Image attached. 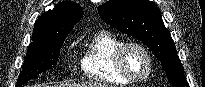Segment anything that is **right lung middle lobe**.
<instances>
[{
    "label": "right lung middle lobe",
    "instance_id": "1",
    "mask_svg": "<svg viewBox=\"0 0 205 87\" xmlns=\"http://www.w3.org/2000/svg\"><path fill=\"white\" fill-rule=\"evenodd\" d=\"M65 37L36 40L30 43L22 73L17 81V87H21L29 79L36 78L39 74L57 64Z\"/></svg>",
    "mask_w": 205,
    "mask_h": 87
}]
</instances>
